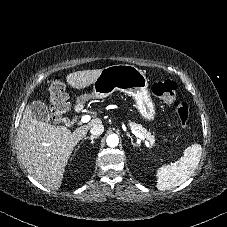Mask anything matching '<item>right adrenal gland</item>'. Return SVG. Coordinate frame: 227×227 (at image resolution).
<instances>
[{
  "instance_id": "right-adrenal-gland-1",
  "label": "right adrenal gland",
  "mask_w": 227,
  "mask_h": 227,
  "mask_svg": "<svg viewBox=\"0 0 227 227\" xmlns=\"http://www.w3.org/2000/svg\"><path fill=\"white\" fill-rule=\"evenodd\" d=\"M96 138H98V136H90V137H85L84 138V140H86V139H90V141H91V144H93L94 143V139H96Z\"/></svg>"
}]
</instances>
